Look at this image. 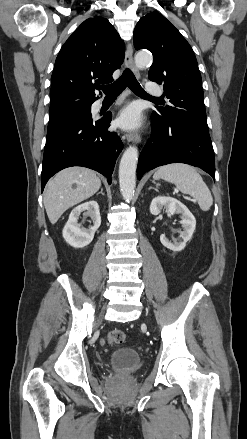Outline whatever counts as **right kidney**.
I'll return each instance as SVG.
<instances>
[{"mask_svg": "<svg viewBox=\"0 0 247 439\" xmlns=\"http://www.w3.org/2000/svg\"><path fill=\"white\" fill-rule=\"evenodd\" d=\"M81 213H83V215L90 216L93 221V225L88 229L83 228L81 224L78 223ZM100 225L101 216L99 205L96 201L91 200L77 206L72 210L63 229V238L72 247L83 248L92 242L95 231Z\"/></svg>", "mask_w": 247, "mask_h": 439, "instance_id": "ca27d5eb", "label": "right kidney"}]
</instances>
